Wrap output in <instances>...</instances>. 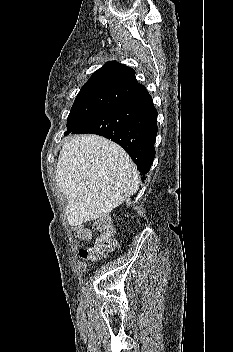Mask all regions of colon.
Segmentation results:
<instances>
[{"label": "colon", "mask_w": 233, "mask_h": 352, "mask_svg": "<svg viewBox=\"0 0 233 352\" xmlns=\"http://www.w3.org/2000/svg\"><path fill=\"white\" fill-rule=\"evenodd\" d=\"M96 226L100 233L91 246L81 248L80 257L83 259H97L109 253L115 247L110 227L104 222H98ZM76 233L83 241L90 238V230L87 228L79 227L76 229Z\"/></svg>", "instance_id": "5ec220e1"}]
</instances>
